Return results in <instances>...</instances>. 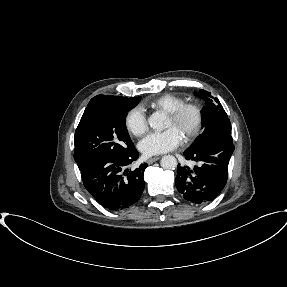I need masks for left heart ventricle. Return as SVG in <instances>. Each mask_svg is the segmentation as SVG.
I'll list each match as a JSON object with an SVG mask.
<instances>
[{
  "instance_id": "left-heart-ventricle-1",
  "label": "left heart ventricle",
  "mask_w": 287,
  "mask_h": 287,
  "mask_svg": "<svg viewBox=\"0 0 287 287\" xmlns=\"http://www.w3.org/2000/svg\"><path fill=\"white\" fill-rule=\"evenodd\" d=\"M194 121V117L191 113L185 114L179 121H173L171 118L167 116L165 128L175 127L183 137H185L186 133L192 126Z\"/></svg>"
}]
</instances>
